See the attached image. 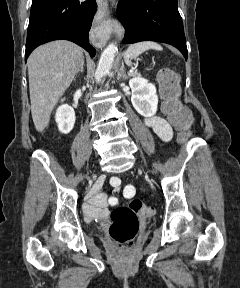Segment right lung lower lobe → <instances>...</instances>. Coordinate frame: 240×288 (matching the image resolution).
<instances>
[{"mask_svg": "<svg viewBox=\"0 0 240 288\" xmlns=\"http://www.w3.org/2000/svg\"><path fill=\"white\" fill-rule=\"evenodd\" d=\"M96 10L95 0H32L25 61L37 46L58 39L70 40L94 57L88 36Z\"/></svg>", "mask_w": 240, "mask_h": 288, "instance_id": "right-lung-lower-lobe-1", "label": "right lung lower lobe"}]
</instances>
